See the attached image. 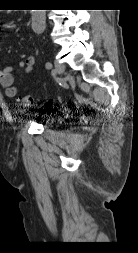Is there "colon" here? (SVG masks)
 <instances>
[{"label": "colon", "instance_id": "5ec220e1", "mask_svg": "<svg viewBox=\"0 0 138 253\" xmlns=\"http://www.w3.org/2000/svg\"><path fill=\"white\" fill-rule=\"evenodd\" d=\"M19 101L23 106H33L35 103V99L32 95H22L19 97Z\"/></svg>", "mask_w": 138, "mask_h": 253}]
</instances>
